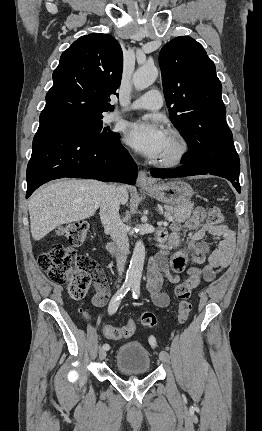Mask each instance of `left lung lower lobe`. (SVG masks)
Returning <instances> with one entry per match:
<instances>
[{
    "label": "left lung lower lobe",
    "mask_w": 262,
    "mask_h": 431,
    "mask_svg": "<svg viewBox=\"0 0 262 431\" xmlns=\"http://www.w3.org/2000/svg\"><path fill=\"white\" fill-rule=\"evenodd\" d=\"M239 171H240V162L235 163L230 160H224L222 167H220L217 170V172H212L203 168L193 167V166L184 164V166L177 168L175 170L152 169L151 175L155 178H175V177L205 175V174L217 175L231 181L233 186L236 188V190L240 192L241 188L239 184Z\"/></svg>",
    "instance_id": "1"
}]
</instances>
